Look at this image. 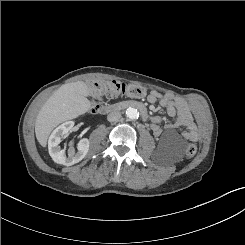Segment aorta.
<instances>
[{
    "mask_svg": "<svg viewBox=\"0 0 245 245\" xmlns=\"http://www.w3.org/2000/svg\"><path fill=\"white\" fill-rule=\"evenodd\" d=\"M126 117L129 119V120H136L138 119L139 117V112L137 111V109L135 108H128L126 110Z\"/></svg>",
    "mask_w": 245,
    "mask_h": 245,
    "instance_id": "aorta-1",
    "label": "aorta"
}]
</instances>
